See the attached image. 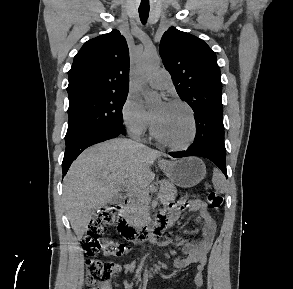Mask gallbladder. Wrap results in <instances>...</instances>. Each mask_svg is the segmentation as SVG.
I'll use <instances>...</instances> for the list:
<instances>
[{
	"label": "gallbladder",
	"instance_id": "1",
	"mask_svg": "<svg viewBox=\"0 0 293 289\" xmlns=\"http://www.w3.org/2000/svg\"><path fill=\"white\" fill-rule=\"evenodd\" d=\"M120 199H121V197H117V198H115L114 200H112L111 203L118 202Z\"/></svg>",
	"mask_w": 293,
	"mask_h": 289
}]
</instances>
